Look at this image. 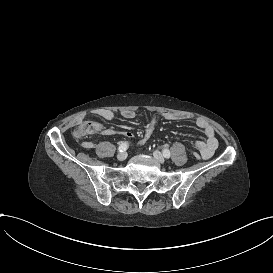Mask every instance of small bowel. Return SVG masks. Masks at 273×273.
<instances>
[{
  "label": "small bowel",
  "instance_id": "1",
  "mask_svg": "<svg viewBox=\"0 0 273 273\" xmlns=\"http://www.w3.org/2000/svg\"><path fill=\"white\" fill-rule=\"evenodd\" d=\"M93 114L96 117H99L104 120H113L116 116L115 112L109 109H97L93 111ZM122 117L126 120H132L136 117V113L132 110H125L121 113ZM162 118L166 121H185L190 118V115L182 112H164L162 113ZM195 123L198 128L202 130L204 133V139H197L194 142L195 149L199 152L200 156L203 159L211 158L217 147H218V140L215 135L214 128L203 118L196 117ZM85 133L89 138H96L98 134H103V136H109L115 133L114 129L107 128L103 123H96L94 124H87L85 126ZM125 137L131 138L133 137L132 132L126 130L121 132ZM82 145L86 148H93V145H87L82 143Z\"/></svg>",
  "mask_w": 273,
  "mask_h": 273
}]
</instances>
